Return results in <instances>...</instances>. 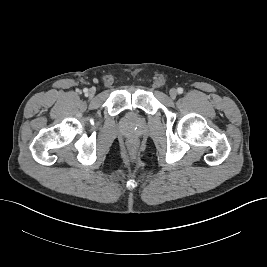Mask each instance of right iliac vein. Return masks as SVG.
Masks as SVG:
<instances>
[{"instance_id":"obj_1","label":"right iliac vein","mask_w":267,"mask_h":267,"mask_svg":"<svg viewBox=\"0 0 267 267\" xmlns=\"http://www.w3.org/2000/svg\"><path fill=\"white\" fill-rule=\"evenodd\" d=\"M94 94H95V90H94V89H90V90L88 91V95H89L90 97H93Z\"/></svg>"}]
</instances>
